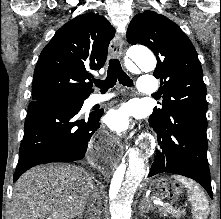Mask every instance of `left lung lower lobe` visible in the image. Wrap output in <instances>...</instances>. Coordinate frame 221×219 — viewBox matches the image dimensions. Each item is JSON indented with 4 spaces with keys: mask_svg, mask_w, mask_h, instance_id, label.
I'll use <instances>...</instances> for the list:
<instances>
[{
    "mask_svg": "<svg viewBox=\"0 0 221 219\" xmlns=\"http://www.w3.org/2000/svg\"><path fill=\"white\" fill-rule=\"evenodd\" d=\"M160 148L156 151L148 177L174 173L194 179L212 198L207 160V120L187 111L175 110L163 121L150 118Z\"/></svg>",
    "mask_w": 221,
    "mask_h": 219,
    "instance_id": "1",
    "label": "left lung lower lobe"
}]
</instances>
